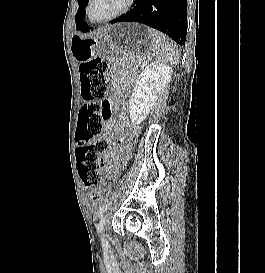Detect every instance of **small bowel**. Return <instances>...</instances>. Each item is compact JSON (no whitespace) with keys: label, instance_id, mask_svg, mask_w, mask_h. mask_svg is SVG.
I'll return each instance as SVG.
<instances>
[{"label":"small bowel","instance_id":"small-bowel-1","mask_svg":"<svg viewBox=\"0 0 265 273\" xmlns=\"http://www.w3.org/2000/svg\"><path fill=\"white\" fill-rule=\"evenodd\" d=\"M111 61L114 62V59H112ZM109 78L111 79V81L113 82V84H115V80H114L113 76L109 75ZM111 100L112 101H116L117 97L116 96H112ZM121 124H122L123 127H127V128H130V129H133L132 124L126 118H122ZM108 129H109V127H107L106 130H105V136H106V138L110 139V133H109ZM113 155H114V152L112 150H109V149L105 150L101 154V162L103 163L104 166H111ZM96 204L97 203H94L93 206H96Z\"/></svg>","mask_w":265,"mask_h":273}]
</instances>
